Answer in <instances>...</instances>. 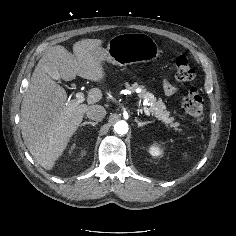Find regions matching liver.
Masks as SVG:
<instances>
[{
    "label": "liver",
    "instance_id": "liver-1",
    "mask_svg": "<svg viewBox=\"0 0 236 236\" xmlns=\"http://www.w3.org/2000/svg\"><path fill=\"white\" fill-rule=\"evenodd\" d=\"M103 40L83 39L73 53L57 45L46 50L32 74L21 105V133L29 152L46 170H51L76 132L89 106L102 99V91L90 89L88 104L67 103L65 90L50 76L55 68L64 81L80 76L94 82L106 78L98 49Z\"/></svg>",
    "mask_w": 236,
    "mask_h": 236
}]
</instances>
